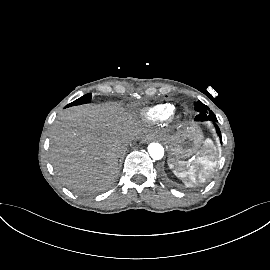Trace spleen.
Segmentation results:
<instances>
[{
  "mask_svg": "<svg viewBox=\"0 0 270 270\" xmlns=\"http://www.w3.org/2000/svg\"><path fill=\"white\" fill-rule=\"evenodd\" d=\"M214 151L215 147L212 141L206 140L199 152V157L194 162H183L184 170L178 177L188 176L192 181L198 177L200 181L204 182L216 166V162L213 160Z\"/></svg>",
  "mask_w": 270,
  "mask_h": 270,
  "instance_id": "obj_1",
  "label": "spleen"
}]
</instances>
